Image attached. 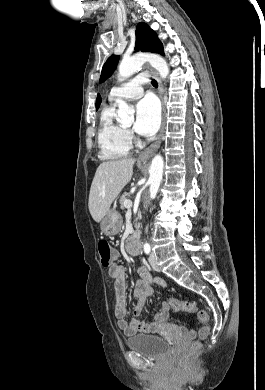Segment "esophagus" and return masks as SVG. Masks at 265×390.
<instances>
[{
  "mask_svg": "<svg viewBox=\"0 0 265 390\" xmlns=\"http://www.w3.org/2000/svg\"><path fill=\"white\" fill-rule=\"evenodd\" d=\"M146 68L152 73L154 78L156 79L158 83V94L162 103V124L159 131V134L153 144H151L148 148H146L138 157V161L140 162H146L150 159V157L153 155V153L159 148L162 136L165 130V105H164V99H163V85L161 82L160 77L158 76V73L149 65H146Z\"/></svg>",
  "mask_w": 265,
  "mask_h": 390,
  "instance_id": "obj_1",
  "label": "esophagus"
}]
</instances>
